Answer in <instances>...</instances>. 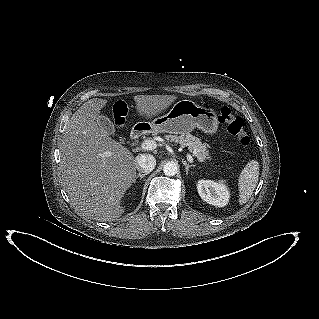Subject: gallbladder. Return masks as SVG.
Instances as JSON below:
<instances>
[{"label":"gallbladder","mask_w":319,"mask_h":319,"mask_svg":"<svg viewBox=\"0 0 319 319\" xmlns=\"http://www.w3.org/2000/svg\"><path fill=\"white\" fill-rule=\"evenodd\" d=\"M98 125L105 130L109 135H115V127L109 118L104 115H100L97 118Z\"/></svg>","instance_id":"gallbladder-1"}]
</instances>
